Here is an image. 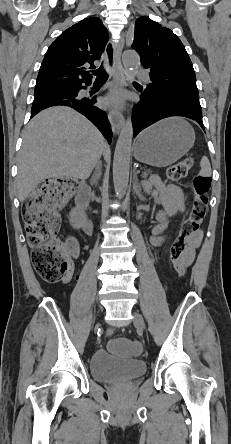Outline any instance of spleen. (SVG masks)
I'll return each instance as SVG.
<instances>
[{
  "mask_svg": "<svg viewBox=\"0 0 231 444\" xmlns=\"http://www.w3.org/2000/svg\"><path fill=\"white\" fill-rule=\"evenodd\" d=\"M200 166H201V170L199 173L200 176L209 177L211 175V165H210V162L206 156L202 157V159L200 161Z\"/></svg>",
  "mask_w": 231,
  "mask_h": 444,
  "instance_id": "spleen-1",
  "label": "spleen"
}]
</instances>
